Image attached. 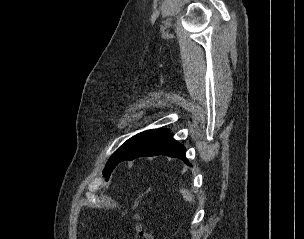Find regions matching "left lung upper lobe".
<instances>
[{"instance_id":"obj_1","label":"left lung upper lobe","mask_w":304,"mask_h":239,"mask_svg":"<svg viewBox=\"0 0 304 239\" xmlns=\"http://www.w3.org/2000/svg\"><path fill=\"white\" fill-rule=\"evenodd\" d=\"M156 130H147L141 132L130 139H128L125 143H123L110 157L107 162L105 169L103 171V175L106 179H109L112 170L116 167V165L120 162V159L125 156L135 145H137L140 141L145 139L147 136L155 132Z\"/></svg>"}]
</instances>
